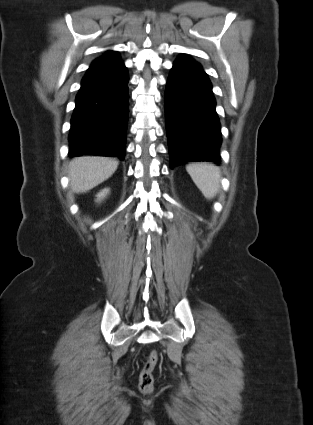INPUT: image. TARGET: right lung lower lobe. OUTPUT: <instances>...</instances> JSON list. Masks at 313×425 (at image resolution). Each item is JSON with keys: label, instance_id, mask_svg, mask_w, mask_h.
<instances>
[{"label": "right lung lower lobe", "instance_id": "1", "mask_svg": "<svg viewBox=\"0 0 313 425\" xmlns=\"http://www.w3.org/2000/svg\"><path fill=\"white\" fill-rule=\"evenodd\" d=\"M127 69L118 54L94 60L81 82L71 119L69 156H125L129 113Z\"/></svg>", "mask_w": 313, "mask_h": 425}]
</instances>
